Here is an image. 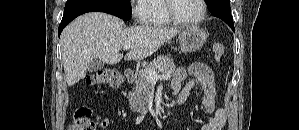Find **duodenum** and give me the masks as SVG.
Returning <instances> with one entry per match:
<instances>
[{
	"instance_id": "410a0bca",
	"label": "duodenum",
	"mask_w": 299,
	"mask_h": 130,
	"mask_svg": "<svg viewBox=\"0 0 299 130\" xmlns=\"http://www.w3.org/2000/svg\"><path fill=\"white\" fill-rule=\"evenodd\" d=\"M124 75H125V78L128 82H133L134 79H135V72L134 70H132L131 68H127L125 71H124ZM184 100H179L177 99V103H181L183 102Z\"/></svg>"
}]
</instances>
